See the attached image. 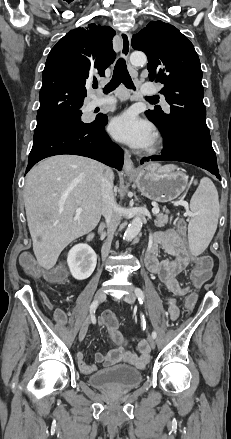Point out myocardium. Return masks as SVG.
Listing matches in <instances>:
<instances>
[{
    "mask_svg": "<svg viewBox=\"0 0 231 439\" xmlns=\"http://www.w3.org/2000/svg\"><path fill=\"white\" fill-rule=\"evenodd\" d=\"M159 143H160L159 137H155V139H153L151 148L155 149L159 145Z\"/></svg>",
    "mask_w": 231,
    "mask_h": 439,
    "instance_id": "1",
    "label": "myocardium"
}]
</instances>
